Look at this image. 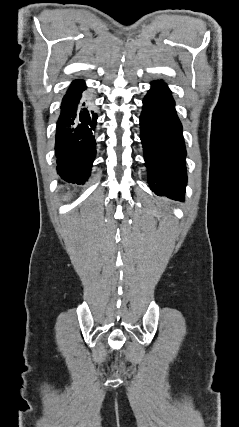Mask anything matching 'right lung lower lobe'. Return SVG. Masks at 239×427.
Returning a JSON list of instances; mask_svg holds the SVG:
<instances>
[{"mask_svg": "<svg viewBox=\"0 0 239 427\" xmlns=\"http://www.w3.org/2000/svg\"><path fill=\"white\" fill-rule=\"evenodd\" d=\"M85 89L82 80L70 85L61 103L56 131L57 171L64 180L77 184L87 180L96 155L94 133L98 116L90 100L82 97Z\"/></svg>", "mask_w": 239, "mask_h": 427, "instance_id": "obj_1", "label": "right lung lower lobe"}]
</instances>
